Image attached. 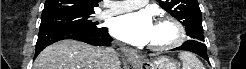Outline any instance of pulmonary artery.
<instances>
[{"label": "pulmonary artery", "mask_w": 246, "mask_h": 69, "mask_svg": "<svg viewBox=\"0 0 246 69\" xmlns=\"http://www.w3.org/2000/svg\"><path fill=\"white\" fill-rule=\"evenodd\" d=\"M147 3L148 1L145 0H129V1L118 2L115 4H108L109 9L105 11H101L98 16L99 18H107L113 15L138 9L146 5Z\"/></svg>", "instance_id": "e3ab8cb5"}]
</instances>
